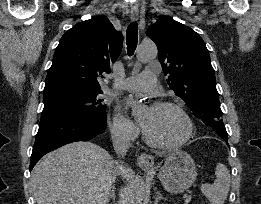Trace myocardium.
<instances>
[{"label":"myocardium","instance_id":"1","mask_svg":"<svg viewBox=\"0 0 261 204\" xmlns=\"http://www.w3.org/2000/svg\"><path fill=\"white\" fill-rule=\"evenodd\" d=\"M154 108H172L175 109L177 112L180 113V115L183 117L185 123H186V133L184 137L179 140L178 142L172 143V144H163L158 141H156L154 138L151 137V135L147 132V130L143 127V135L146 140V142L160 150H176L182 146H184L192 137L193 131H194V126L192 119L190 118L189 114L187 111L178 103L173 102V101H158L153 104Z\"/></svg>","mask_w":261,"mask_h":204}]
</instances>
